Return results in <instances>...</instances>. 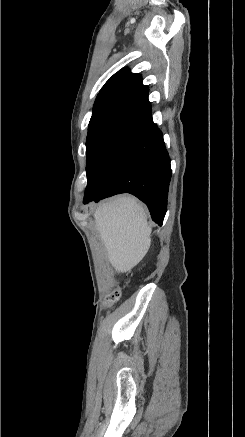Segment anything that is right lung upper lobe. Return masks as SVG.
<instances>
[{"instance_id": "right-lung-upper-lobe-1", "label": "right lung upper lobe", "mask_w": 245, "mask_h": 437, "mask_svg": "<svg viewBox=\"0 0 245 437\" xmlns=\"http://www.w3.org/2000/svg\"><path fill=\"white\" fill-rule=\"evenodd\" d=\"M148 87L142 84L140 74L123 68L115 73L100 90L93 109L105 105H125L144 113L151 111Z\"/></svg>"}]
</instances>
